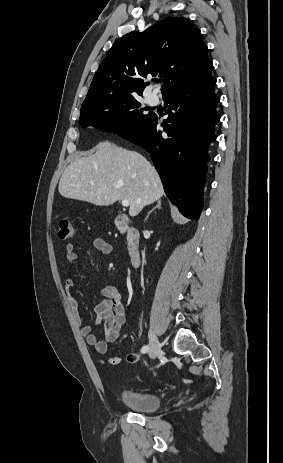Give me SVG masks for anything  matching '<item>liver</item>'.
<instances>
[{"mask_svg":"<svg viewBox=\"0 0 283 463\" xmlns=\"http://www.w3.org/2000/svg\"><path fill=\"white\" fill-rule=\"evenodd\" d=\"M94 150L63 172L58 187L63 197L98 206L126 199L129 215L135 217L163 196L160 177L144 156L110 142H101Z\"/></svg>","mask_w":283,"mask_h":463,"instance_id":"liver-1","label":"liver"}]
</instances>
